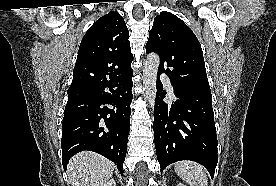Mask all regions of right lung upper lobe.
I'll list each match as a JSON object with an SVG mask.
<instances>
[{
    "mask_svg": "<svg viewBox=\"0 0 276 186\" xmlns=\"http://www.w3.org/2000/svg\"><path fill=\"white\" fill-rule=\"evenodd\" d=\"M129 31L118 12L98 19L84 35L68 91L117 82L132 72Z\"/></svg>",
    "mask_w": 276,
    "mask_h": 186,
    "instance_id": "1",
    "label": "right lung upper lobe"
}]
</instances>
